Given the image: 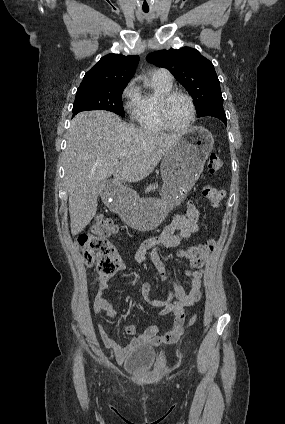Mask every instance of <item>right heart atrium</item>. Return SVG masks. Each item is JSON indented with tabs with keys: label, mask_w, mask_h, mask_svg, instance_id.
<instances>
[{
	"label": "right heart atrium",
	"mask_w": 285,
	"mask_h": 424,
	"mask_svg": "<svg viewBox=\"0 0 285 424\" xmlns=\"http://www.w3.org/2000/svg\"><path fill=\"white\" fill-rule=\"evenodd\" d=\"M122 99L125 110L133 116L139 102V88L135 79H132L123 89Z\"/></svg>",
	"instance_id": "d8ad5b80"
}]
</instances>
